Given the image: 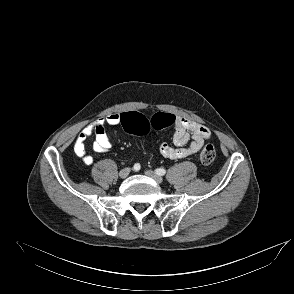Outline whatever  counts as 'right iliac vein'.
Returning a JSON list of instances; mask_svg holds the SVG:
<instances>
[{
	"label": "right iliac vein",
	"mask_w": 294,
	"mask_h": 294,
	"mask_svg": "<svg viewBox=\"0 0 294 294\" xmlns=\"http://www.w3.org/2000/svg\"><path fill=\"white\" fill-rule=\"evenodd\" d=\"M129 173H130V169L124 168L119 172V176H120V178L124 179L129 175Z\"/></svg>",
	"instance_id": "1"
}]
</instances>
